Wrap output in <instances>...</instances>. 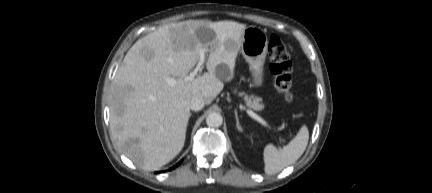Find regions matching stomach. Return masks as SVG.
Masks as SVG:
<instances>
[{
	"instance_id": "stomach-1",
	"label": "stomach",
	"mask_w": 432,
	"mask_h": 193,
	"mask_svg": "<svg viewBox=\"0 0 432 193\" xmlns=\"http://www.w3.org/2000/svg\"><path fill=\"white\" fill-rule=\"evenodd\" d=\"M269 40L266 32L255 26L245 28L241 37L240 50L249 64L254 86L263 85V67Z\"/></svg>"
}]
</instances>
